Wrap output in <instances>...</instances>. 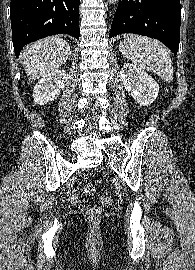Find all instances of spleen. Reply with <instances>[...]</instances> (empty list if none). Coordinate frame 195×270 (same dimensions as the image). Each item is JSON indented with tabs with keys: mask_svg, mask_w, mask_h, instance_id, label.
Here are the masks:
<instances>
[{
	"mask_svg": "<svg viewBox=\"0 0 195 270\" xmlns=\"http://www.w3.org/2000/svg\"><path fill=\"white\" fill-rule=\"evenodd\" d=\"M119 48L122 54L138 67L157 74L166 82L173 80L170 55L158 41L138 35H127Z\"/></svg>",
	"mask_w": 195,
	"mask_h": 270,
	"instance_id": "obj_1",
	"label": "spleen"
}]
</instances>
